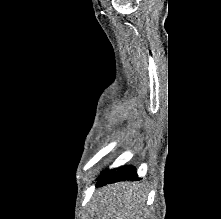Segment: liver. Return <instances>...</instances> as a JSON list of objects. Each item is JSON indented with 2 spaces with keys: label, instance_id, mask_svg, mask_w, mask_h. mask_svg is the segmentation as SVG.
<instances>
[{
  "label": "liver",
  "instance_id": "obj_1",
  "mask_svg": "<svg viewBox=\"0 0 221 219\" xmlns=\"http://www.w3.org/2000/svg\"><path fill=\"white\" fill-rule=\"evenodd\" d=\"M146 198L140 184L119 182L97 192L92 213L96 219H146Z\"/></svg>",
  "mask_w": 221,
  "mask_h": 219
}]
</instances>
